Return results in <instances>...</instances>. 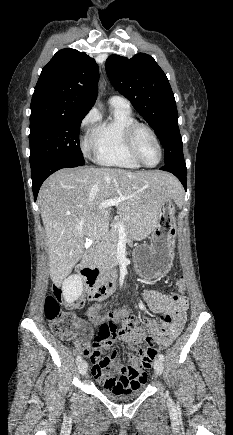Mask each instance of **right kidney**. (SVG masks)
<instances>
[{"mask_svg": "<svg viewBox=\"0 0 233 435\" xmlns=\"http://www.w3.org/2000/svg\"><path fill=\"white\" fill-rule=\"evenodd\" d=\"M83 282L79 275H70L62 284V296L67 303H73L82 294Z\"/></svg>", "mask_w": 233, "mask_h": 435, "instance_id": "obj_1", "label": "right kidney"}]
</instances>
